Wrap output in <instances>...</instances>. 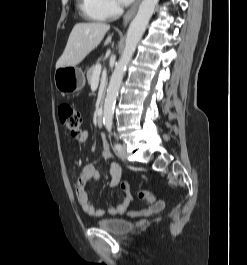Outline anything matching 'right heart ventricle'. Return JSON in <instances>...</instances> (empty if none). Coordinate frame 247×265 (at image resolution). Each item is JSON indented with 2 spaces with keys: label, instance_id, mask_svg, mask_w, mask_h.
Instances as JSON below:
<instances>
[{
  "label": "right heart ventricle",
  "instance_id": "e07e8e85",
  "mask_svg": "<svg viewBox=\"0 0 247 265\" xmlns=\"http://www.w3.org/2000/svg\"><path fill=\"white\" fill-rule=\"evenodd\" d=\"M81 2V8H82V11L83 13L90 19L92 20H97V21H100V20H107L99 15H97L96 13H94L91 9H90V6H89V0H80Z\"/></svg>",
  "mask_w": 247,
  "mask_h": 265
}]
</instances>
